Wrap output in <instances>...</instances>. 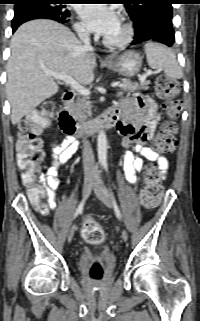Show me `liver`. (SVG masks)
<instances>
[{"mask_svg":"<svg viewBox=\"0 0 200 321\" xmlns=\"http://www.w3.org/2000/svg\"><path fill=\"white\" fill-rule=\"evenodd\" d=\"M96 55L87 50L65 26L38 19L21 25L11 39L7 64L6 94L11 105V122L16 125L45 99L55 95V78L50 70L66 73L80 84L94 80Z\"/></svg>","mask_w":200,"mask_h":321,"instance_id":"1","label":"liver"}]
</instances>
